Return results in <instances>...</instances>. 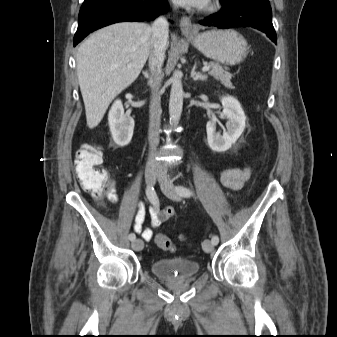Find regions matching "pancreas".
Returning <instances> with one entry per match:
<instances>
[{
	"label": "pancreas",
	"mask_w": 337,
	"mask_h": 337,
	"mask_svg": "<svg viewBox=\"0 0 337 337\" xmlns=\"http://www.w3.org/2000/svg\"><path fill=\"white\" fill-rule=\"evenodd\" d=\"M209 66L211 67L209 75L213 76L217 80H220L226 88H234L233 84L231 83V75L225 72L221 65H219L218 63L210 62Z\"/></svg>",
	"instance_id": "1"
}]
</instances>
